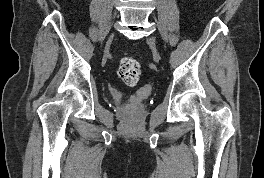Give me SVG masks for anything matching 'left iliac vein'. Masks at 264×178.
Returning <instances> with one entry per match:
<instances>
[{
	"mask_svg": "<svg viewBox=\"0 0 264 178\" xmlns=\"http://www.w3.org/2000/svg\"><path fill=\"white\" fill-rule=\"evenodd\" d=\"M147 43L149 45V47L151 48L153 55L156 59H159V53L157 51L156 45H155V41L152 38H148L147 39Z\"/></svg>",
	"mask_w": 264,
	"mask_h": 178,
	"instance_id": "4c4485c4",
	"label": "left iliac vein"
}]
</instances>
